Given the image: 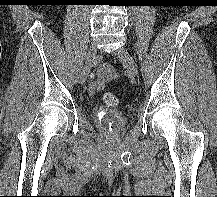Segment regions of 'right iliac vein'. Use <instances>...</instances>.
Wrapping results in <instances>:
<instances>
[{"label": "right iliac vein", "mask_w": 217, "mask_h": 197, "mask_svg": "<svg viewBox=\"0 0 217 197\" xmlns=\"http://www.w3.org/2000/svg\"><path fill=\"white\" fill-rule=\"evenodd\" d=\"M96 57H97V49L94 45H91L87 52L84 68L79 77V84L83 85L87 80L91 69L94 67Z\"/></svg>", "instance_id": "right-iliac-vein-1"}]
</instances>
